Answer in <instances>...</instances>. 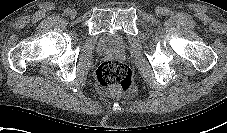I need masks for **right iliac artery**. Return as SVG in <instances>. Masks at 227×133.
Wrapping results in <instances>:
<instances>
[{
    "label": "right iliac artery",
    "instance_id": "1",
    "mask_svg": "<svg viewBox=\"0 0 227 133\" xmlns=\"http://www.w3.org/2000/svg\"><path fill=\"white\" fill-rule=\"evenodd\" d=\"M69 12H70V9L69 8H67V9L64 10V14H66V15H68Z\"/></svg>",
    "mask_w": 227,
    "mask_h": 133
}]
</instances>
